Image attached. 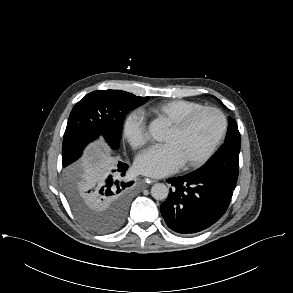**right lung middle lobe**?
<instances>
[{
    "mask_svg": "<svg viewBox=\"0 0 293 293\" xmlns=\"http://www.w3.org/2000/svg\"><path fill=\"white\" fill-rule=\"evenodd\" d=\"M148 99L120 90H98L76 103L70 113L62 146L65 190L74 213L91 230L112 231L121 225L123 218L100 213L88 205L83 188L98 173L73 163L84 147L99 136L112 149H118L126 114Z\"/></svg>",
    "mask_w": 293,
    "mask_h": 293,
    "instance_id": "dd1d6c3e",
    "label": "right lung middle lobe"
}]
</instances>
